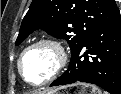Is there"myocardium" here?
<instances>
[{
	"label": "myocardium",
	"instance_id": "1",
	"mask_svg": "<svg viewBox=\"0 0 121 94\" xmlns=\"http://www.w3.org/2000/svg\"><path fill=\"white\" fill-rule=\"evenodd\" d=\"M40 47L49 48L54 53L55 62H54V67H53L51 73L49 74V76L46 77L41 82L34 83V82L29 81L25 77L23 70H22V61L28 52H30L31 50H34L36 48H40ZM67 63H68L67 51L65 50L64 46L58 40H55L52 38H41V39L36 40L35 42L29 44L27 47H25L23 49V51L21 52V54L17 60V69H18V72H19L21 78L23 79V81H25L26 83H28L31 86L40 87V86H44V85L54 81L63 72Z\"/></svg>",
	"mask_w": 121,
	"mask_h": 94
}]
</instances>
